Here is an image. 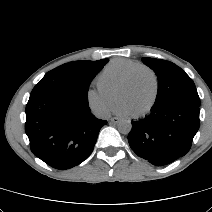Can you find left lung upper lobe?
Instances as JSON below:
<instances>
[{"instance_id":"obj_1","label":"left lung upper lobe","mask_w":212,"mask_h":212,"mask_svg":"<svg viewBox=\"0 0 212 212\" xmlns=\"http://www.w3.org/2000/svg\"><path fill=\"white\" fill-rule=\"evenodd\" d=\"M142 61L158 77V94L155 105L172 101H186L200 106V99L192 79L172 62L144 57Z\"/></svg>"}]
</instances>
